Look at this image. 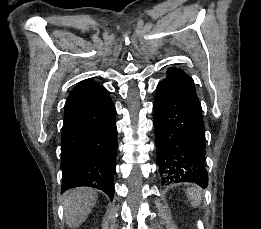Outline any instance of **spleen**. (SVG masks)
Masks as SVG:
<instances>
[{"label":"spleen","mask_w":261,"mask_h":229,"mask_svg":"<svg viewBox=\"0 0 261 229\" xmlns=\"http://www.w3.org/2000/svg\"><path fill=\"white\" fill-rule=\"evenodd\" d=\"M187 197L194 209L196 207H199L202 199H201V193L198 191L197 187H189V189H186Z\"/></svg>","instance_id":"3e777b00"}]
</instances>
